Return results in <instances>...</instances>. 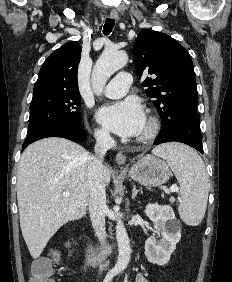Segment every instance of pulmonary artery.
Returning a JSON list of instances; mask_svg holds the SVG:
<instances>
[{
  "label": "pulmonary artery",
  "instance_id": "pulmonary-artery-1",
  "mask_svg": "<svg viewBox=\"0 0 232 282\" xmlns=\"http://www.w3.org/2000/svg\"><path fill=\"white\" fill-rule=\"evenodd\" d=\"M131 84V74L121 71L107 84L104 89V95L112 99L120 98L127 93Z\"/></svg>",
  "mask_w": 232,
  "mask_h": 282
}]
</instances>
